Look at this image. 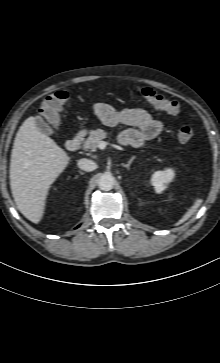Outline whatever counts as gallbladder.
I'll return each instance as SVG.
<instances>
[{
	"instance_id": "gallbladder-1",
	"label": "gallbladder",
	"mask_w": 220,
	"mask_h": 363,
	"mask_svg": "<svg viewBox=\"0 0 220 363\" xmlns=\"http://www.w3.org/2000/svg\"><path fill=\"white\" fill-rule=\"evenodd\" d=\"M36 125L43 133L52 135L55 133L54 129L44 120L41 116H36Z\"/></svg>"
}]
</instances>
